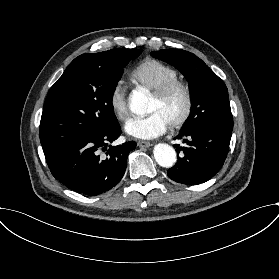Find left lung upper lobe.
Wrapping results in <instances>:
<instances>
[{"instance_id":"obj_1","label":"left lung upper lobe","mask_w":279,"mask_h":279,"mask_svg":"<svg viewBox=\"0 0 279 279\" xmlns=\"http://www.w3.org/2000/svg\"><path fill=\"white\" fill-rule=\"evenodd\" d=\"M151 55L175 66L188 80L192 108L182 130L202 125L233 129L226 85L200 58L181 49H164Z\"/></svg>"}]
</instances>
